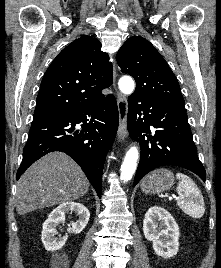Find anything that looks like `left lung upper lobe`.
Masks as SVG:
<instances>
[{
    "label": "left lung upper lobe",
    "instance_id": "5c2ea615",
    "mask_svg": "<svg viewBox=\"0 0 221 268\" xmlns=\"http://www.w3.org/2000/svg\"><path fill=\"white\" fill-rule=\"evenodd\" d=\"M121 71L134 77L133 95L161 103L184 105L178 81L169 65L146 39L130 37L117 53Z\"/></svg>",
    "mask_w": 221,
    "mask_h": 268
}]
</instances>
